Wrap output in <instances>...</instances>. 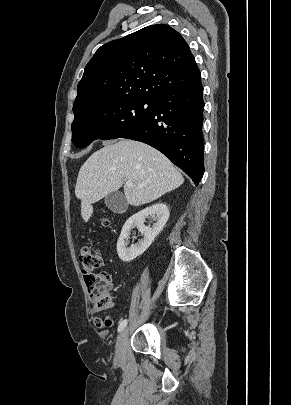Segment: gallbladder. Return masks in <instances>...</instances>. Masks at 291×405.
<instances>
[{"label": "gallbladder", "instance_id": "bac80fb5", "mask_svg": "<svg viewBox=\"0 0 291 405\" xmlns=\"http://www.w3.org/2000/svg\"><path fill=\"white\" fill-rule=\"evenodd\" d=\"M105 204L114 213H122L128 207L125 196L120 192H112L108 194L105 197Z\"/></svg>", "mask_w": 291, "mask_h": 405}]
</instances>
